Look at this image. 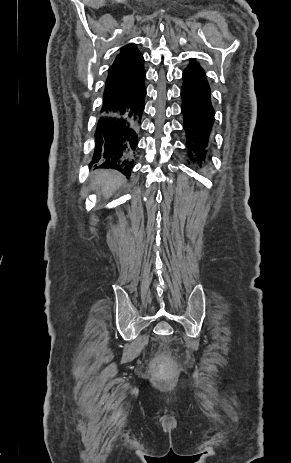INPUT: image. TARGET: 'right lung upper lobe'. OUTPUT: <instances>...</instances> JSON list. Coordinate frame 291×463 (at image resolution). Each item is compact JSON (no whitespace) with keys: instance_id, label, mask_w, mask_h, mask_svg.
Wrapping results in <instances>:
<instances>
[{"instance_id":"cb5924a9","label":"right lung upper lobe","mask_w":291,"mask_h":463,"mask_svg":"<svg viewBox=\"0 0 291 463\" xmlns=\"http://www.w3.org/2000/svg\"><path fill=\"white\" fill-rule=\"evenodd\" d=\"M143 64L144 58L135 44L130 43L121 48L109 68L101 114L126 98L131 89L141 81L145 72Z\"/></svg>"}]
</instances>
